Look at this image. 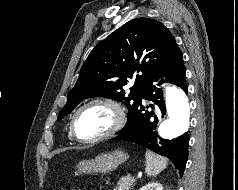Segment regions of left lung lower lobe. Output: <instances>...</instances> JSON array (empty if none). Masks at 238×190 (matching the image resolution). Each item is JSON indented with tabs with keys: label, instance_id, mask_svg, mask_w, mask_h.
Here are the masks:
<instances>
[{
	"label": "left lung lower lobe",
	"instance_id": "left-lung-lower-lobe-1",
	"mask_svg": "<svg viewBox=\"0 0 238 190\" xmlns=\"http://www.w3.org/2000/svg\"><path fill=\"white\" fill-rule=\"evenodd\" d=\"M185 66L183 55L179 50L170 60L161 66L147 82L141 100L136 105L123 129L117 132L114 139L129 141L141 145L155 153L169 158L179 169L182 176L188 159L189 136L187 133L172 140L160 138L155 131L160 118L165 115V103L162 90L156 87L163 82H170L182 88L187 94L188 88L185 81ZM142 99L153 101L156 106L146 105ZM150 108V110H148Z\"/></svg>",
	"mask_w": 238,
	"mask_h": 190
}]
</instances>
